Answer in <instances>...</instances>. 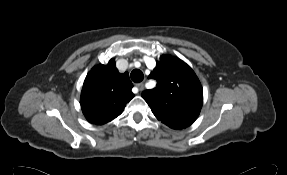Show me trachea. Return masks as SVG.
I'll use <instances>...</instances> for the list:
<instances>
[{"label": "trachea", "mask_w": 287, "mask_h": 175, "mask_svg": "<svg viewBox=\"0 0 287 175\" xmlns=\"http://www.w3.org/2000/svg\"><path fill=\"white\" fill-rule=\"evenodd\" d=\"M130 77L132 79L133 82L135 83H139L143 80L144 78V75H143V72L139 69H134L131 74H130Z\"/></svg>", "instance_id": "1"}]
</instances>
